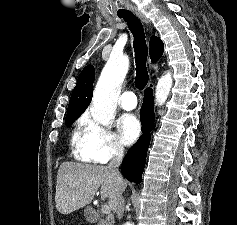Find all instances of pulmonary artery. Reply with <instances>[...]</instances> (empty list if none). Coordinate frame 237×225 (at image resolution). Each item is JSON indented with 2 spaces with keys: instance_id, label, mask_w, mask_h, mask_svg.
Wrapping results in <instances>:
<instances>
[{
  "instance_id": "e3ab8cb5",
  "label": "pulmonary artery",
  "mask_w": 237,
  "mask_h": 225,
  "mask_svg": "<svg viewBox=\"0 0 237 225\" xmlns=\"http://www.w3.org/2000/svg\"><path fill=\"white\" fill-rule=\"evenodd\" d=\"M120 106L124 110H133L137 106V99L133 92H124L119 101Z\"/></svg>"
}]
</instances>
